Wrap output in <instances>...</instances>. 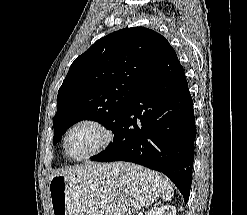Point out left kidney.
<instances>
[{"label": "left kidney", "instance_id": "left-kidney-1", "mask_svg": "<svg viewBox=\"0 0 247 215\" xmlns=\"http://www.w3.org/2000/svg\"><path fill=\"white\" fill-rule=\"evenodd\" d=\"M147 215H176L175 206H160L152 208Z\"/></svg>", "mask_w": 247, "mask_h": 215}]
</instances>
